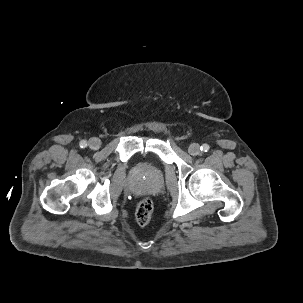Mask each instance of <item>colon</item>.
<instances>
[{
  "mask_svg": "<svg viewBox=\"0 0 303 303\" xmlns=\"http://www.w3.org/2000/svg\"><path fill=\"white\" fill-rule=\"evenodd\" d=\"M153 210V201L150 198L142 199L139 202L135 213L137 222L142 226L150 224L154 219Z\"/></svg>",
  "mask_w": 303,
  "mask_h": 303,
  "instance_id": "5ec220e1",
  "label": "colon"
}]
</instances>
